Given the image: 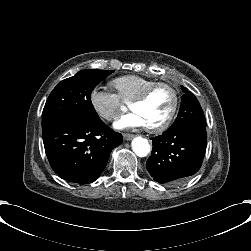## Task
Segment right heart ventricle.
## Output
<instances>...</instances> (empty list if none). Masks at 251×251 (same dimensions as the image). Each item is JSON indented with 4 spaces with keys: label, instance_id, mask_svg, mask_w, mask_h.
Instances as JSON below:
<instances>
[{
    "label": "right heart ventricle",
    "instance_id": "e07e8e85",
    "mask_svg": "<svg viewBox=\"0 0 251 251\" xmlns=\"http://www.w3.org/2000/svg\"><path fill=\"white\" fill-rule=\"evenodd\" d=\"M153 82L155 80L150 77L129 74L113 79L111 84L116 89L117 95L122 101L131 102Z\"/></svg>",
    "mask_w": 251,
    "mask_h": 251
}]
</instances>
